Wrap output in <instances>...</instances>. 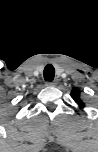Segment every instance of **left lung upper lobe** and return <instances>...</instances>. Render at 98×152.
Listing matches in <instances>:
<instances>
[{"label": "left lung upper lobe", "instance_id": "1", "mask_svg": "<svg viewBox=\"0 0 98 152\" xmlns=\"http://www.w3.org/2000/svg\"><path fill=\"white\" fill-rule=\"evenodd\" d=\"M71 96L80 108H83L85 106L82 100L80 99V91L77 88H74L71 91Z\"/></svg>", "mask_w": 98, "mask_h": 152}]
</instances>
